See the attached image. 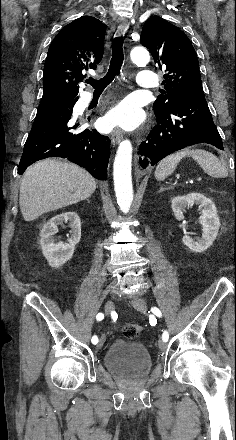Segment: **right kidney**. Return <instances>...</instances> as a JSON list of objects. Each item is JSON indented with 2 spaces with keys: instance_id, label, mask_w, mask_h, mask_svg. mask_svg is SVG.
<instances>
[{
  "instance_id": "right-kidney-1",
  "label": "right kidney",
  "mask_w": 236,
  "mask_h": 440,
  "mask_svg": "<svg viewBox=\"0 0 236 440\" xmlns=\"http://www.w3.org/2000/svg\"><path fill=\"white\" fill-rule=\"evenodd\" d=\"M64 222H69L70 238L65 243H57L54 235L58 230V225H62ZM40 236L43 255L51 267L58 268L71 259L75 246L81 239L80 217L71 211L56 215L44 224Z\"/></svg>"
}]
</instances>
